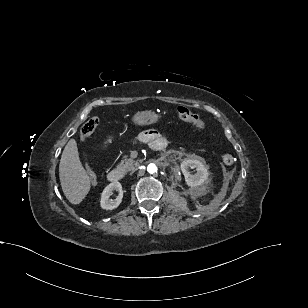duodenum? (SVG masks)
<instances>
[{
	"label": "duodenum",
	"mask_w": 308,
	"mask_h": 308,
	"mask_svg": "<svg viewBox=\"0 0 308 308\" xmlns=\"http://www.w3.org/2000/svg\"><path fill=\"white\" fill-rule=\"evenodd\" d=\"M157 149H162L165 147V142L160 141L157 145H156ZM124 175L123 172L120 169L114 168L111 169L108 174H107V178L109 181L111 182H118L121 181L123 179Z\"/></svg>",
	"instance_id": "410a0bca"
}]
</instances>
